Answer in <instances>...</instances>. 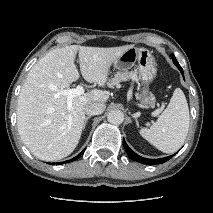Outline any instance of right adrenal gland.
Listing matches in <instances>:
<instances>
[{"mask_svg":"<svg viewBox=\"0 0 213 213\" xmlns=\"http://www.w3.org/2000/svg\"><path fill=\"white\" fill-rule=\"evenodd\" d=\"M89 118H91V116H87L86 118H85V122H84V128H85V126H86V124H87V121H88V119Z\"/></svg>","mask_w":213,"mask_h":213,"instance_id":"2a0ac1e0","label":"right adrenal gland"}]
</instances>
